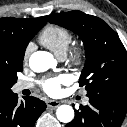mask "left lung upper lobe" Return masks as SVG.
Masks as SVG:
<instances>
[{
	"mask_svg": "<svg viewBox=\"0 0 127 127\" xmlns=\"http://www.w3.org/2000/svg\"><path fill=\"white\" fill-rule=\"evenodd\" d=\"M49 22L82 39L86 62L79 82L87 95L103 91L127 95V52L118 35L100 18L81 11L57 13Z\"/></svg>",
	"mask_w": 127,
	"mask_h": 127,
	"instance_id": "obj_1",
	"label": "left lung upper lobe"
}]
</instances>
